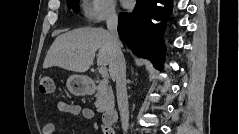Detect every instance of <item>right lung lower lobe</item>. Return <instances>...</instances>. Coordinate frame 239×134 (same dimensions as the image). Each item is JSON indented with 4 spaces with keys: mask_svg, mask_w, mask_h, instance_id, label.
I'll list each match as a JSON object with an SVG mask.
<instances>
[{
    "mask_svg": "<svg viewBox=\"0 0 239 134\" xmlns=\"http://www.w3.org/2000/svg\"><path fill=\"white\" fill-rule=\"evenodd\" d=\"M136 1L131 13L119 14V36L137 56L149 59L161 70L164 60L162 34L165 28L154 25L151 19L167 20L169 0ZM156 3H162L165 7H158Z\"/></svg>",
    "mask_w": 239,
    "mask_h": 134,
    "instance_id": "obj_1",
    "label": "right lung lower lobe"
}]
</instances>
